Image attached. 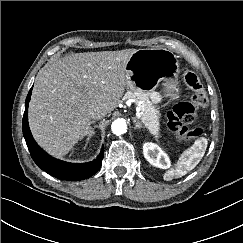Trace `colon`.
<instances>
[{
  "mask_svg": "<svg viewBox=\"0 0 243 243\" xmlns=\"http://www.w3.org/2000/svg\"><path fill=\"white\" fill-rule=\"evenodd\" d=\"M184 83L191 90L192 97L190 101L178 103L172 111L168 113L169 127L187 140H194L202 135L200 128H190V124L194 122L197 111L206 107L208 97L206 90L198 77L192 71L184 73Z\"/></svg>",
  "mask_w": 243,
  "mask_h": 243,
  "instance_id": "obj_1",
  "label": "colon"
}]
</instances>
